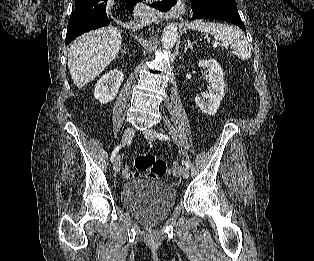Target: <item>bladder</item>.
<instances>
[{"mask_svg": "<svg viewBox=\"0 0 314 261\" xmlns=\"http://www.w3.org/2000/svg\"><path fill=\"white\" fill-rule=\"evenodd\" d=\"M123 207L145 224L164 221L176 204L175 188L156 180H132L121 188Z\"/></svg>", "mask_w": 314, "mask_h": 261, "instance_id": "bladder-1", "label": "bladder"}]
</instances>
